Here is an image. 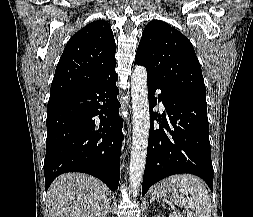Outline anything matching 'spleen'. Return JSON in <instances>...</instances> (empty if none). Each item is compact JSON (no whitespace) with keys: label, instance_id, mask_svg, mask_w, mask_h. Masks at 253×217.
Segmentation results:
<instances>
[{"label":"spleen","instance_id":"spleen-1","mask_svg":"<svg viewBox=\"0 0 253 217\" xmlns=\"http://www.w3.org/2000/svg\"><path fill=\"white\" fill-rule=\"evenodd\" d=\"M169 184L173 187L176 201L194 210L195 217H211V198L205 186L194 176L177 174L168 178ZM187 192L192 194L189 200L183 195Z\"/></svg>","mask_w":253,"mask_h":217}]
</instances>
